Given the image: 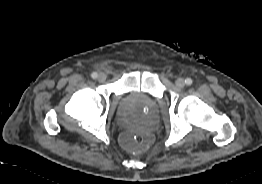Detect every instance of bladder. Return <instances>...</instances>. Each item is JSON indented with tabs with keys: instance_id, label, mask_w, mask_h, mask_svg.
<instances>
[{
	"instance_id": "obj_1",
	"label": "bladder",
	"mask_w": 262,
	"mask_h": 184,
	"mask_svg": "<svg viewBox=\"0 0 262 184\" xmlns=\"http://www.w3.org/2000/svg\"><path fill=\"white\" fill-rule=\"evenodd\" d=\"M119 121L122 125H124L125 127L129 128L133 126V123L131 120H129L128 118H124L121 114L119 115Z\"/></svg>"
}]
</instances>
